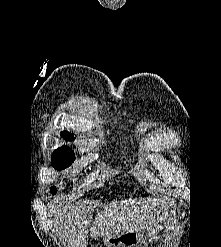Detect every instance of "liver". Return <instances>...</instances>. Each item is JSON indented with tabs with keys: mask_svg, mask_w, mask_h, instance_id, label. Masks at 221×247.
I'll return each instance as SVG.
<instances>
[{
	"mask_svg": "<svg viewBox=\"0 0 221 247\" xmlns=\"http://www.w3.org/2000/svg\"><path fill=\"white\" fill-rule=\"evenodd\" d=\"M162 204L158 198L122 201L120 204L112 202L94 218L90 235L109 237L129 230H147L161 220L157 208ZM53 214L60 237L68 247H86L91 222L89 208L67 203L53 210Z\"/></svg>",
	"mask_w": 221,
	"mask_h": 247,
	"instance_id": "liver-1",
	"label": "liver"
}]
</instances>
